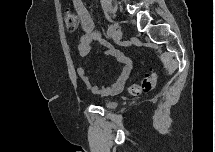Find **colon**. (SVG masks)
<instances>
[{"label":"colon","instance_id":"colon-1","mask_svg":"<svg viewBox=\"0 0 215 152\" xmlns=\"http://www.w3.org/2000/svg\"><path fill=\"white\" fill-rule=\"evenodd\" d=\"M64 23L67 30L76 31L79 26V18L76 13L71 10H66L64 13ZM157 82V75L151 73L147 75L140 83H133L129 86V92L134 95L147 93L152 91Z\"/></svg>","mask_w":215,"mask_h":152}]
</instances>
